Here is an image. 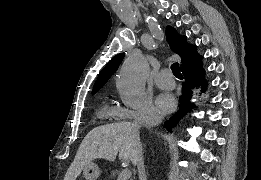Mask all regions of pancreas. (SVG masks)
<instances>
[{"label": "pancreas", "mask_w": 261, "mask_h": 180, "mask_svg": "<svg viewBox=\"0 0 261 180\" xmlns=\"http://www.w3.org/2000/svg\"><path fill=\"white\" fill-rule=\"evenodd\" d=\"M107 176H111V178H116V176H120L121 172L119 169H111V171L106 172Z\"/></svg>", "instance_id": "obj_1"}]
</instances>
